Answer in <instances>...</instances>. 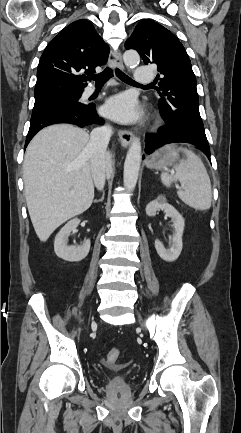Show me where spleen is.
Instances as JSON below:
<instances>
[{
	"mask_svg": "<svg viewBox=\"0 0 241 433\" xmlns=\"http://www.w3.org/2000/svg\"><path fill=\"white\" fill-rule=\"evenodd\" d=\"M186 155V159L174 167L175 176L168 173L161 174V181L166 187H170L174 178L177 179L185 190L177 192L178 197L188 206L196 210H208L211 207L212 192L211 182L202 160L192 151L179 147Z\"/></svg>",
	"mask_w": 241,
	"mask_h": 433,
	"instance_id": "spleen-1",
	"label": "spleen"
}]
</instances>
